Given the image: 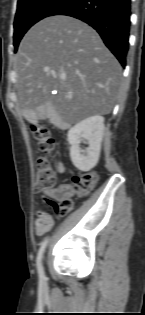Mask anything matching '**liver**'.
Instances as JSON below:
<instances>
[{"label": "liver", "mask_w": 145, "mask_h": 315, "mask_svg": "<svg viewBox=\"0 0 145 315\" xmlns=\"http://www.w3.org/2000/svg\"><path fill=\"white\" fill-rule=\"evenodd\" d=\"M15 70L17 105L24 117L45 115L68 126L109 114L122 72L98 33L65 15L47 17L26 33Z\"/></svg>", "instance_id": "1"}]
</instances>
